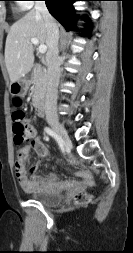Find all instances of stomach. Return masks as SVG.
Returning a JSON list of instances; mask_svg holds the SVG:
<instances>
[{"label":"stomach","mask_w":133,"mask_h":253,"mask_svg":"<svg viewBox=\"0 0 133 253\" xmlns=\"http://www.w3.org/2000/svg\"><path fill=\"white\" fill-rule=\"evenodd\" d=\"M29 82L21 77L18 81L11 83L10 92L14 95H24L28 89Z\"/></svg>","instance_id":"1"}]
</instances>
